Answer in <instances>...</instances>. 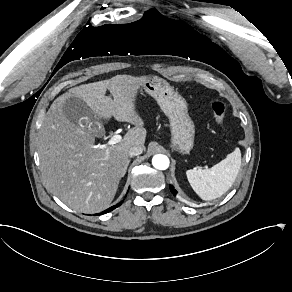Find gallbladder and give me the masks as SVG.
Returning <instances> with one entry per match:
<instances>
[{
    "label": "gallbladder",
    "instance_id": "gallbladder-1",
    "mask_svg": "<svg viewBox=\"0 0 292 292\" xmlns=\"http://www.w3.org/2000/svg\"><path fill=\"white\" fill-rule=\"evenodd\" d=\"M62 109L65 116L70 120L71 123L84 130H88L90 123L98 121V118L94 112L80 97L74 95L69 96L65 99ZM103 135L104 130L101 134H95L97 137H101Z\"/></svg>",
    "mask_w": 292,
    "mask_h": 292
}]
</instances>
